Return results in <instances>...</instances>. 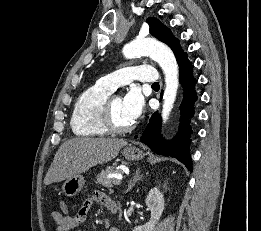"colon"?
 Segmentation results:
<instances>
[{"instance_id": "5ec220e1", "label": "colon", "mask_w": 261, "mask_h": 231, "mask_svg": "<svg viewBox=\"0 0 261 231\" xmlns=\"http://www.w3.org/2000/svg\"><path fill=\"white\" fill-rule=\"evenodd\" d=\"M61 210L64 211V212H67V211H68V206H67L66 203H63V204L61 205Z\"/></svg>"}]
</instances>
